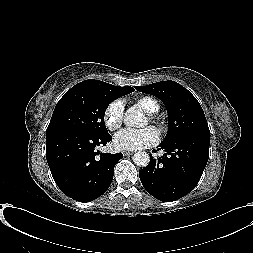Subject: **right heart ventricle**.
Returning a JSON list of instances; mask_svg holds the SVG:
<instances>
[{
    "instance_id": "1",
    "label": "right heart ventricle",
    "mask_w": 253,
    "mask_h": 253,
    "mask_svg": "<svg viewBox=\"0 0 253 253\" xmlns=\"http://www.w3.org/2000/svg\"><path fill=\"white\" fill-rule=\"evenodd\" d=\"M134 103L147 114H156L160 109L157 100L150 96H140L135 99Z\"/></svg>"
}]
</instances>
